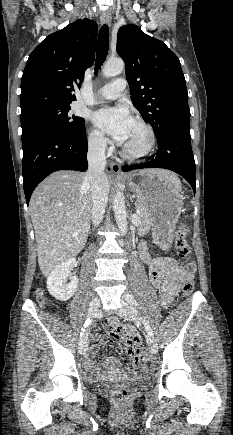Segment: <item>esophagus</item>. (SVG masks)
Segmentation results:
<instances>
[{
	"mask_svg": "<svg viewBox=\"0 0 233 435\" xmlns=\"http://www.w3.org/2000/svg\"><path fill=\"white\" fill-rule=\"evenodd\" d=\"M111 20L112 16L109 11H106L101 15V23L108 25V27L111 25ZM111 170L116 175H123L121 165L118 162H111Z\"/></svg>",
	"mask_w": 233,
	"mask_h": 435,
	"instance_id": "obj_1",
	"label": "esophagus"
}]
</instances>
